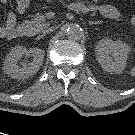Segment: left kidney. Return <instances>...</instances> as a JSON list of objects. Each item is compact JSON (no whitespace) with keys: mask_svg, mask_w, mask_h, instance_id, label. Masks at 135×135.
I'll return each mask as SVG.
<instances>
[{"mask_svg":"<svg viewBox=\"0 0 135 135\" xmlns=\"http://www.w3.org/2000/svg\"><path fill=\"white\" fill-rule=\"evenodd\" d=\"M95 53L105 71L119 74L126 66L129 46L120 40L103 39L97 43Z\"/></svg>","mask_w":135,"mask_h":135,"instance_id":"obj_1","label":"left kidney"}]
</instances>
